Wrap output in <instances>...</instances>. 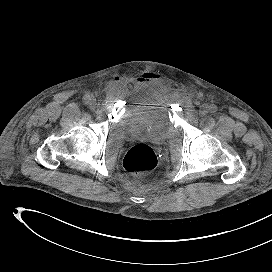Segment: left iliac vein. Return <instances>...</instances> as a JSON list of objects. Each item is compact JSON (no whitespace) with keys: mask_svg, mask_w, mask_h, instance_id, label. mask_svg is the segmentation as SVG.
<instances>
[{"mask_svg":"<svg viewBox=\"0 0 272 272\" xmlns=\"http://www.w3.org/2000/svg\"><path fill=\"white\" fill-rule=\"evenodd\" d=\"M208 113V107L207 105H203L200 109V115L205 116Z\"/></svg>","mask_w":272,"mask_h":272,"instance_id":"4c4485c4","label":"left iliac vein"}]
</instances>
